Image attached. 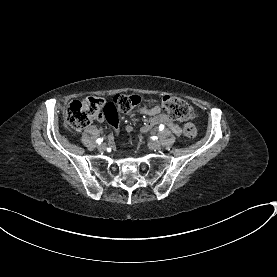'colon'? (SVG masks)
Returning <instances> with one entry per match:
<instances>
[{
	"mask_svg": "<svg viewBox=\"0 0 277 277\" xmlns=\"http://www.w3.org/2000/svg\"><path fill=\"white\" fill-rule=\"evenodd\" d=\"M118 109L127 112L137 105V101L133 95L119 94L114 97ZM160 106L165 113L171 117L184 121H189L194 117V110L185 100L176 96H163ZM105 103L100 94H91L89 99L81 102L75 99L67 111V123L72 131H79L88 126L92 121L101 117ZM184 136L187 138H195L197 130L193 124L187 123L183 129Z\"/></svg>",
	"mask_w": 277,
	"mask_h": 277,
	"instance_id": "5ec220e1",
	"label": "colon"
}]
</instances>
